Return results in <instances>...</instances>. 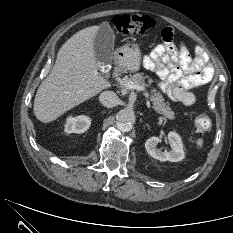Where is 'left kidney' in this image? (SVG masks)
<instances>
[{"label": "left kidney", "mask_w": 233, "mask_h": 233, "mask_svg": "<svg viewBox=\"0 0 233 233\" xmlns=\"http://www.w3.org/2000/svg\"><path fill=\"white\" fill-rule=\"evenodd\" d=\"M161 142L159 137H151L145 142V148L150 156L159 161L178 162L184 159L183 143L181 137L176 132H169L168 142L171 145V151H162L157 148Z\"/></svg>", "instance_id": "5707ae66"}]
</instances>
